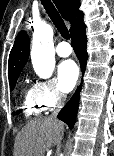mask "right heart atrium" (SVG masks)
Returning a JSON list of instances; mask_svg holds the SVG:
<instances>
[{"instance_id": "obj_1", "label": "right heart atrium", "mask_w": 114, "mask_h": 156, "mask_svg": "<svg viewBox=\"0 0 114 156\" xmlns=\"http://www.w3.org/2000/svg\"><path fill=\"white\" fill-rule=\"evenodd\" d=\"M37 100L45 109H52L61 105L65 99L53 80L37 81L33 86Z\"/></svg>"}]
</instances>
